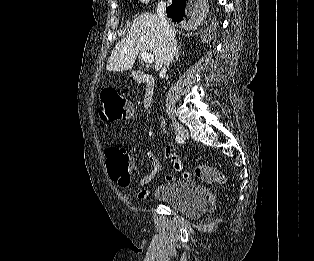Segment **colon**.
<instances>
[{"label":"colon","mask_w":314,"mask_h":261,"mask_svg":"<svg viewBox=\"0 0 314 261\" xmlns=\"http://www.w3.org/2000/svg\"><path fill=\"white\" fill-rule=\"evenodd\" d=\"M101 105L100 117L106 123L126 119L130 115V106L124 96L114 88L104 89L99 95ZM106 169L108 175L120 185L126 186L130 182V168L132 167L129 153L124 149L109 148L106 152ZM194 175L206 183H222L225 176L222 172L206 165L194 167ZM189 178L190 173L185 172Z\"/></svg>","instance_id":"5ec220e1"}]
</instances>
